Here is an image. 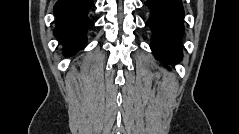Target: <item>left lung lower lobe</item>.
I'll list each match as a JSON object with an SVG mask.
<instances>
[{"label": "left lung lower lobe", "mask_w": 239, "mask_h": 134, "mask_svg": "<svg viewBox=\"0 0 239 134\" xmlns=\"http://www.w3.org/2000/svg\"><path fill=\"white\" fill-rule=\"evenodd\" d=\"M150 18L146 25L152 30L151 50L162 63L182 59L181 39L184 33V9L180 0H147Z\"/></svg>", "instance_id": "obj_1"}]
</instances>
